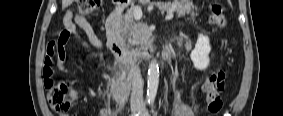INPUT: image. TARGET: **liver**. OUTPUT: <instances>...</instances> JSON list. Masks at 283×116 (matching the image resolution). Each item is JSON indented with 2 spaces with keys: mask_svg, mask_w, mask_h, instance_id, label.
Segmentation results:
<instances>
[{
  "mask_svg": "<svg viewBox=\"0 0 283 116\" xmlns=\"http://www.w3.org/2000/svg\"><path fill=\"white\" fill-rule=\"evenodd\" d=\"M74 2V0H62V8L65 9L69 5H71Z\"/></svg>",
  "mask_w": 283,
  "mask_h": 116,
  "instance_id": "liver-1",
  "label": "liver"
}]
</instances>
